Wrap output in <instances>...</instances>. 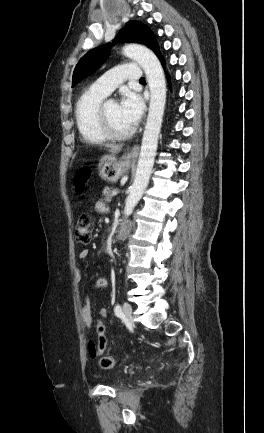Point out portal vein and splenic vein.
Returning <instances> with one entry per match:
<instances>
[{
  "instance_id": "obj_1",
  "label": "portal vein and splenic vein",
  "mask_w": 264,
  "mask_h": 433,
  "mask_svg": "<svg viewBox=\"0 0 264 433\" xmlns=\"http://www.w3.org/2000/svg\"><path fill=\"white\" fill-rule=\"evenodd\" d=\"M118 192H119L118 190H113V191H112V195H117Z\"/></svg>"
}]
</instances>
